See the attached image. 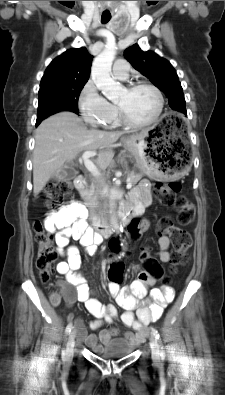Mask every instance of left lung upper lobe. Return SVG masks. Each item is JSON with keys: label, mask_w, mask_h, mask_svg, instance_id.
<instances>
[{"label": "left lung upper lobe", "mask_w": 225, "mask_h": 395, "mask_svg": "<svg viewBox=\"0 0 225 395\" xmlns=\"http://www.w3.org/2000/svg\"><path fill=\"white\" fill-rule=\"evenodd\" d=\"M131 65L146 76L169 99L170 108L187 115L183 89L169 61L153 51H142L135 44L124 51Z\"/></svg>", "instance_id": "left-lung-upper-lobe-1"}]
</instances>
